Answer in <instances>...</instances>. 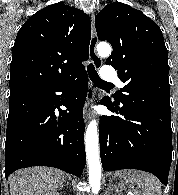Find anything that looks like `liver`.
Here are the masks:
<instances>
[{
  "label": "liver",
  "mask_w": 178,
  "mask_h": 195,
  "mask_svg": "<svg viewBox=\"0 0 178 195\" xmlns=\"http://www.w3.org/2000/svg\"><path fill=\"white\" fill-rule=\"evenodd\" d=\"M65 182L64 172L47 167L16 171L10 179V195H41L55 191Z\"/></svg>",
  "instance_id": "1"
}]
</instances>
